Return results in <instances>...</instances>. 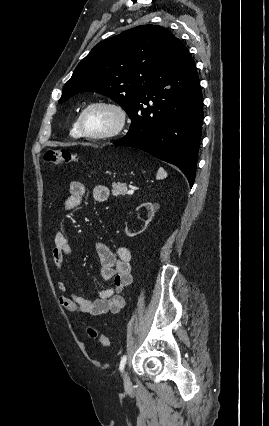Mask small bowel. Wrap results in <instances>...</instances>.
Segmentation results:
<instances>
[{
	"mask_svg": "<svg viewBox=\"0 0 269 426\" xmlns=\"http://www.w3.org/2000/svg\"><path fill=\"white\" fill-rule=\"evenodd\" d=\"M87 187L79 181H72L69 185V195L63 204L65 212L79 207L86 194ZM92 196L96 202H105L109 198V190L106 186L98 185L92 189ZM55 245L51 257L53 264L64 273L65 258L72 254L73 248L67 236L63 232H57L54 238ZM96 251L100 258V276L105 281H111L108 288L97 292L94 299L85 298L74 293H69V285L61 280L57 283L60 293L59 304L69 311L99 316L106 313H119L125 306V299L121 292L132 282L131 252L125 246H120L116 251L102 242L97 241Z\"/></svg>",
	"mask_w": 269,
	"mask_h": 426,
	"instance_id": "1",
	"label": "small bowel"
}]
</instances>
